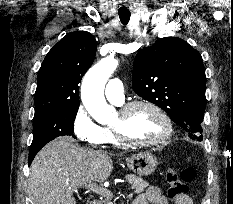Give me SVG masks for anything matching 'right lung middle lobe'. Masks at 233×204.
<instances>
[{
    "label": "right lung middle lobe",
    "mask_w": 233,
    "mask_h": 204,
    "mask_svg": "<svg viewBox=\"0 0 233 204\" xmlns=\"http://www.w3.org/2000/svg\"><path fill=\"white\" fill-rule=\"evenodd\" d=\"M79 106L52 108L37 112L33 119L32 148L43 147L58 136L73 135V125Z\"/></svg>",
    "instance_id": "dd1d6c3e"
}]
</instances>
